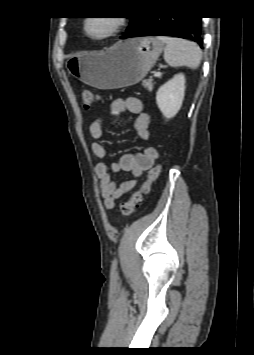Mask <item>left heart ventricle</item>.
Instances as JSON below:
<instances>
[{"instance_id": "left-heart-ventricle-1", "label": "left heart ventricle", "mask_w": 254, "mask_h": 355, "mask_svg": "<svg viewBox=\"0 0 254 355\" xmlns=\"http://www.w3.org/2000/svg\"><path fill=\"white\" fill-rule=\"evenodd\" d=\"M111 28V24L106 19H93L88 25V31L90 34L99 36L105 34Z\"/></svg>"}]
</instances>
